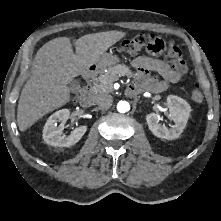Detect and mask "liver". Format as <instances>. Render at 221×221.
Returning <instances> with one entry per match:
<instances>
[{
  "label": "liver",
  "instance_id": "6515ba94",
  "mask_svg": "<svg viewBox=\"0 0 221 221\" xmlns=\"http://www.w3.org/2000/svg\"><path fill=\"white\" fill-rule=\"evenodd\" d=\"M122 37L120 31L84 35L75 41L76 53L68 37L44 44L34 57L31 75L20 94L19 130H27L39 118L68 103L71 95L67 85L85 74Z\"/></svg>",
  "mask_w": 221,
  "mask_h": 221
}]
</instances>
